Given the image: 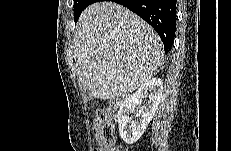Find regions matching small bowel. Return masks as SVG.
Here are the masks:
<instances>
[{
  "mask_svg": "<svg viewBox=\"0 0 231 151\" xmlns=\"http://www.w3.org/2000/svg\"><path fill=\"white\" fill-rule=\"evenodd\" d=\"M95 150L96 151H108L109 145H106L103 142H101L99 139H97V148Z\"/></svg>",
  "mask_w": 231,
  "mask_h": 151,
  "instance_id": "obj_1",
  "label": "small bowel"
}]
</instances>
